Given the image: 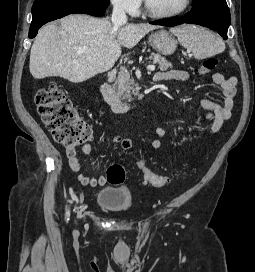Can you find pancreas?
Wrapping results in <instances>:
<instances>
[{
    "label": "pancreas",
    "mask_w": 255,
    "mask_h": 272,
    "mask_svg": "<svg viewBox=\"0 0 255 272\" xmlns=\"http://www.w3.org/2000/svg\"><path fill=\"white\" fill-rule=\"evenodd\" d=\"M147 59L157 62L159 64V69L162 71H166L167 69L172 68V64L168 62L165 57L158 53H152L151 56ZM113 88L117 90L119 96L123 100H127L129 102L133 100L132 94L134 97H138L139 99L142 97L139 92L140 88L138 84L135 83L132 75L125 70H122L118 73Z\"/></svg>",
    "instance_id": "pancreas-1"
}]
</instances>
